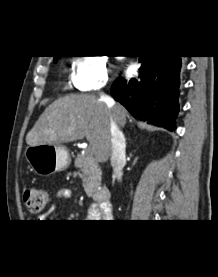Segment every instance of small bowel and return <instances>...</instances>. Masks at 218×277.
<instances>
[{
	"instance_id": "obj_1",
	"label": "small bowel",
	"mask_w": 218,
	"mask_h": 277,
	"mask_svg": "<svg viewBox=\"0 0 218 277\" xmlns=\"http://www.w3.org/2000/svg\"><path fill=\"white\" fill-rule=\"evenodd\" d=\"M73 193L71 190L69 189H61L58 193H57V202L50 208V210L46 213V215L44 217L50 216L54 213H56L59 209V205L63 200H67L72 198ZM102 214L101 212L94 206H91L89 208V218L90 219H99L101 218Z\"/></svg>"
}]
</instances>
